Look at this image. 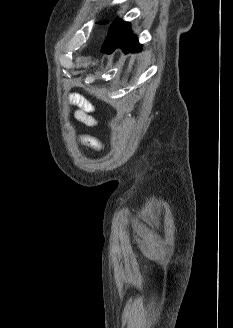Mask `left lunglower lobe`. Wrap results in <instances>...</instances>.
Segmentation results:
<instances>
[{
	"mask_svg": "<svg viewBox=\"0 0 233 328\" xmlns=\"http://www.w3.org/2000/svg\"><path fill=\"white\" fill-rule=\"evenodd\" d=\"M141 46L137 37L131 32L130 23L115 19L101 51L111 54L117 47H120L124 53H128L129 51L140 50Z\"/></svg>",
	"mask_w": 233,
	"mask_h": 328,
	"instance_id": "left-lung-lower-lobe-1",
	"label": "left lung lower lobe"
}]
</instances>
